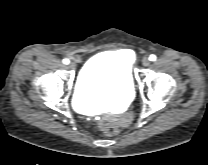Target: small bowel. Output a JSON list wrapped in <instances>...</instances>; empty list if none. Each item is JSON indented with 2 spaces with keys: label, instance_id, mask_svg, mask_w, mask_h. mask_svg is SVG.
<instances>
[{
  "label": "small bowel",
  "instance_id": "c3829d8e",
  "mask_svg": "<svg viewBox=\"0 0 208 165\" xmlns=\"http://www.w3.org/2000/svg\"><path fill=\"white\" fill-rule=\"evenodd\" d=\"M122 57L125 62L129 63L131 60V57L129 56V53L126 51H121Z\"/></svg>",
  "mask_w": 208,
  "mask_h": 165
}]
</instances>
